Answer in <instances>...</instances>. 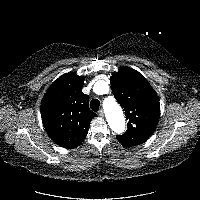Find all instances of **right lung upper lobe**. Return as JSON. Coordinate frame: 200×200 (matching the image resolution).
Listing matches in <instances>:
<instances>
[{"mask_svg":"<svg viewBox=\"0 0 200 200\" xmlns=\"http://www.w3.org/2000/svg\"><path fill=\"white\" fill-rule=\"evenodd\" d=\"M83 76L67 73L49 87L41 102V117L51 139L65 148H75L85 139L90 121L89 97L82 92Z\"/></svg>","mask_w":200,"mask_h":200,"instance_id":"cb5924a9","label":"right lung upper lobe"}]
</instances>
